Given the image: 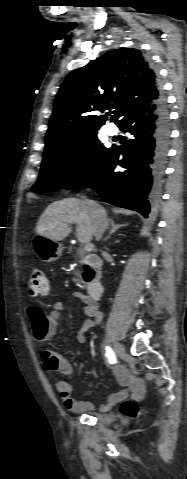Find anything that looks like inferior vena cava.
I'll list each match as a JSON object with an SVG mask.
<instances>
[{
    "label": "inferior vena cava",
    "instance_id": "inferior-vena-cava-1",
    "mask_svg": "<svg viewBox=\"0 0 187 479\" xmlns=\"http://www.w3.org/2000/svg\"><path fill=\"white\" fill-rule=\"evenodd\" d=\"M85 203L90 208L93 219L94 236L96 240H100L108 226V218L102 206L97 202L85 199Z\"/></svg>",
    "mask_w": 187,
    "mask_h": 479
}]
</instances>
